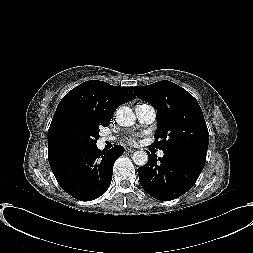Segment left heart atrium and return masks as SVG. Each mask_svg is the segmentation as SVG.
Returning <instances> with one entry per match:
<instances>
[{
	"instance_id": "obj_1",
	"label": "left heart atrium",
	"mask_w": 253,
	"mask_h": 253,
	"mask_svg": "<svg viewBox=\"0 0 253 253\" xmlns=\"http://www.w3.org/2000/svg\"><path fill=\"white\" fill-rule=\"evenodd\" d=\"M129 142H135V138L134 137H131L130 139H129Z\"/></svg>"
}]
</instances>
